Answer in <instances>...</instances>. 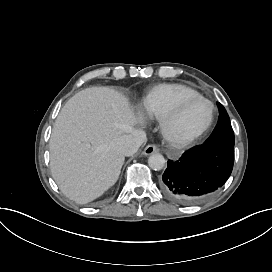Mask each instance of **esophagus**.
I'll use <instances>...</instances> for the list:
<instances>
[{
  "label": "esophagus",
  "mask_w": 272,
  "mask_h": 272,
  "mask_svg": "<svg viewBox=\"0 0 272 272\" xmlns=\"http://www.w3.org/2000/svg\"><path fill=\"white\" fill-rule=\"evenodd\" d=\"M158 151H159V149L157 148L156 145L150 144V145L146 146V148L144 149L143 155L148 156V155L154 154Z\"/></svg>",
  "instance_id": "obj_1"
}]
</instances>
